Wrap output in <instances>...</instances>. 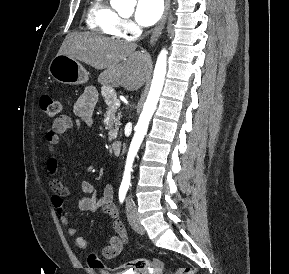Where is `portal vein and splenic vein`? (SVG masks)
<instances>
[{
	"label": "portal vein and splenic vein",
	"instance_id": "1",
	"mask_svg": "<svg viewBox=\"0 0 289 274\" xmlns=\"http://www.w3.org/2000/svg\"><path fill=\"white\" fill-rule=\"evenodd\" d=\"M115 105H120V101L118 99L115 101Z\"/></svg>",
	"mask_w": 289,
	"mask_h": 274
}]
</instances>
